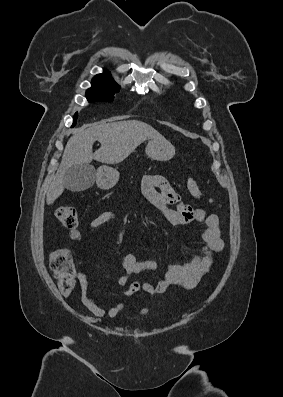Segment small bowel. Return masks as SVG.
I'll use <instances>...</instances> for the list:
<instances>
[{
  "label": "small bowel",
  "instance_id": "obj_1",
  "mask_svg": "<svg viewBox=\"0 0 283 397\" xmlns=\"http://www.w3.org/2000/svg\"><path fill=\"white\" fill-rule=\"evenodd\" d=\"M141 189L149 204L154 207L170 225H184L196 221L205 226L202 233L201 253L193 256L184 264H170L166 267L164 277L155 284L149 282L133 281L131 277L146 270L157 268L158 262L155 260L138 261L135 255L126 254L121 260V267L124 274L119 276L116 283L119 286L128 285L124 294L133 295L139 290L144 291L148 296L166 291L171 286H179L184 289L195 287L205 276L214 268L216 257L222 252L224 242L221 239L220 219L215 214L207 212L198 207H192L184 203L180 195L171 187L169 182L162 176H144ZM115 212L107 210L100 213L90 223L91 229H97L109 221L114 220ZM72 241H81L83 234L78 229L69 232ZM81 289V301L83 305L97 318L107 315L110 319H115L125 308L122 301H115L113 305L105 310L97 298L89 292V283L85 273L77 272ZM148 308L141 310V315H146Z\"/></svg>",
  "mask_w": 283,
  "mask_h": 397
}]
</instances>
